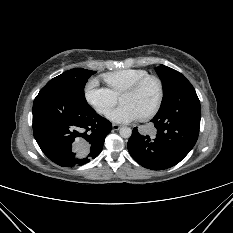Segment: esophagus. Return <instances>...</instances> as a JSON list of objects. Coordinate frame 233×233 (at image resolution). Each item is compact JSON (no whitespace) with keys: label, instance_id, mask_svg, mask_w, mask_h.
<instances>
[{"label":"esophagus","instance_id":"34e87169","mask_svg":"<svg viewBox=\"0 0 233 233\" xmlns=\"http://www.w3.org/2000/svg\"><path fill=\"white\" fill-rule=\"evenodd\" d=\"M112 128H113V130H119L121 128V125L113 124Z\"/></svg>","mask_w":233,"mask_h":233}]
</instances>
